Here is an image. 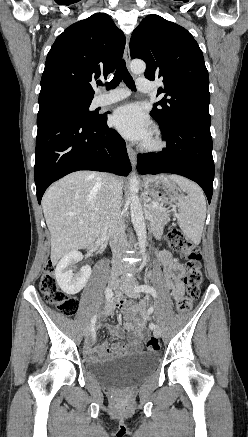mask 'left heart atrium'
<instances>
[{
  "mask_svg": "<svg viewBox=\"0 0 248 437\" xmlns=\"http://www.w3.org/2000/svg\"><path fill=\"white\" fill-rule=\"evenodd\" d=\"M111 122L123 136L129 139L146 141L151 135L150 122L136 104L119 107L114 112Z\"/></svg>",
  "mask_w": 248,
  "mask_h": 437,
  "instance_id": "1",
  "label": "left heart atrium"
}]
</instances>
